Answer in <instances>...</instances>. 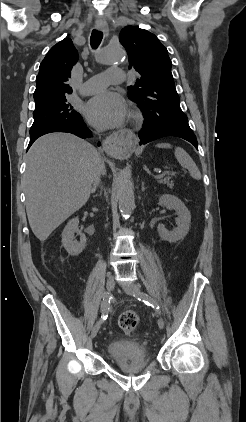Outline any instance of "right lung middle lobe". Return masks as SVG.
Returning <instances> with one entry per match:
<instances>
[{
	"label": "right lung middle lobe",
	"mask_w": 246,
	"mask_h": 422,
	"mask_svg": "<svg viewBox=\"0 0 246 422\" xmlns=\"http://www.w3.org/2000/svg\"><path fill=\"white\" fill-rule=\"evenodd\" d=\"M33 118L34 123L30 128V134L54 125L73 124L82 119L81 115L73 110V107L67 102L66 97L36 108Z\"/></svg>",
	"instance_id": "1"
}]
</instances>
